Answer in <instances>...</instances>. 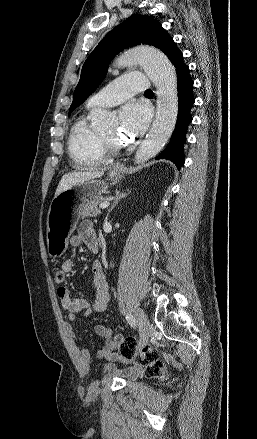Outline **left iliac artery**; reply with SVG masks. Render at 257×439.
<instances>
[{
  "label": "left iliac artery",
  "mask_w": 257,
  "mask_h": 439,
  "mask_svg": "<svg viewBox=\"0 0 257 439\" xmlns=\"http://www.w3.org/2000/svg\"><path fill=\"white\" fill-rule=\"evenodd\" d=\"M126 320L128 321V323L131 325V326H134L135 325V319H134V317L131 315V314H127L126 315Z\"/></svg>",
  "instance_id": "44dca946"
}]
</instances>
